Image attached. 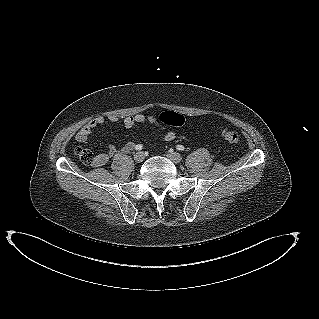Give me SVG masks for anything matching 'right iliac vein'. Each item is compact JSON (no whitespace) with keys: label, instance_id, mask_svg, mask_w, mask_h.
<instances>
[{"label":"right iliac vein","instance_id":"1","mask_svg":"<svg viewBox=\"0 0 319 319\" xmlns=\"http://www.w3.org/2000/svg\"><path fill=\"white\" fill-rule=\"evenodd\" d=\"M144 154L143 152H137L135 155H134V160L137 162V163H141L144 161Z\"/></svg>","mask_w":319,"mask_h":319}]
</instances>
